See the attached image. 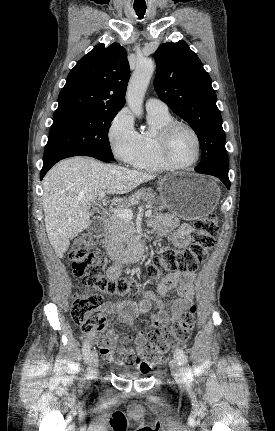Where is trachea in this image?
<instances>
[{"label":"trachea","mask_w":275,"mask_h":431,"mask_svg":"<svg viewBox=\"0 0 275 431\" xmlns=\"http://www.w3.org/2000/svg\"><path fill=\"white\" fill-rule=\"evenodd\" d=\"M134 9H135V12H136L137 16L139 17V19H142L144 17V15H145L146 7H143V8H134Z\"/></svg>","instance_id":"1"}]
</instances>
